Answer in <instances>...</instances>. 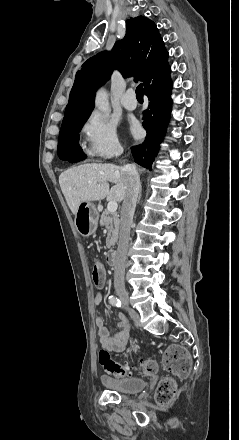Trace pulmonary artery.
I'll return each instance as SVG.
<instances>
[{
    "label": "pulmonary artery",
    "instance_id": "e3ab8cb5",
    "mask_svg": "<svg viewBox=\"0 0 239 440\" xmlns=\"http://www.w3.org/2000/svg\"><path fill=\"white\" fill-rule=\"evenodd\" d=\"M135 95V91L133 89H128L125 94L122 96L121 98V105L127 109V110H134L137 107L136 103L133 102H129L127 100L128 97L130 96H134Z\"/></svg>",
    "mask_w": 239,
    "mask_h": 440
}]
</instances>
